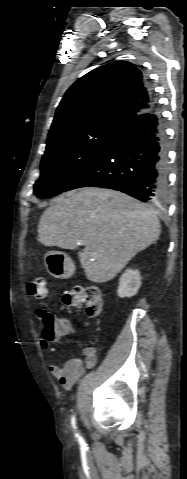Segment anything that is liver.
<instances>
[{
	"label": "liver",
	"mask_w": 187,
	"mask_h": 479,
	"mask_svg": "<svg viewBox=\"0 0 187 479\" xmlns=\"http://www.w3.org/2000/svg\"><path fill=\"white\" fill-rule=\"evenodd\" d=\"M155 212L124 193L88 187L60 195L42 214L38 239L47 247L84 249L78 257L88 280L113 279L160 236Z\"/></svg>",
	"instance_id": "obj_1"
}]
</instances>
